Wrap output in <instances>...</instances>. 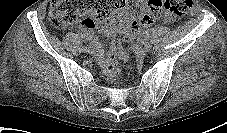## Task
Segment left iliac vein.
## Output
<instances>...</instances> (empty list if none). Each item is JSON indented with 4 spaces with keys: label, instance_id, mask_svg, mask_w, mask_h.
<instances>
[{
    "label": "left iliac vein",
    "instance_id": "4c4485c4",
    "mask_svg": "<svg viewBox=\"0 0 227 133\" xmlns=\"http://www.w3.org/2000/svg\"><path fill=\"white\" fill-rule=\"evenodd\" d=\"M136 54L139 58H144L147 54V49L145 47H141L137 50Z\"/></svg>",
    "mask_w": 227,
    "mask_h": 133
}]
</instances>
